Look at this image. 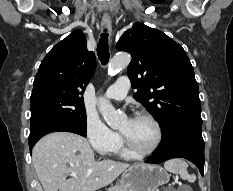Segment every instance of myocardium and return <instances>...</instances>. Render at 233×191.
<instances>
[{
	"label": "myocardium",
	"instance_id": "myocardium-1",
	"mask_svg": "<svg viewBox=\"0 0 233 191\" xmlns=\"http://www.w3.org/2000/svg\"><path fill=\"white\" fill-rule=\"evenodd\" d=\"M134 119H146V120L150 121L156 129V140L150 149H148L146 151H142V150L138 149L136 146H134L131 143V141L121 132L124 145L128 151H130L131 153H133L137 157L149 156V155L153 154L161 144L162 137H163V131H162L161 124L153 115L148 114V113H140V114L136 115L134 117Z\"/></svg>",
	"mask_w": 233,
	"mask_h": 191
}]
</instances>
